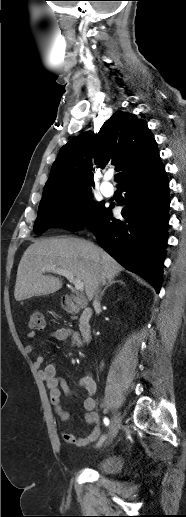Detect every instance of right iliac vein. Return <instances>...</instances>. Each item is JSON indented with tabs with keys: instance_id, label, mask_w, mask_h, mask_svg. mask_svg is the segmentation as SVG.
Here are the masks:
<instances>
[{
	"instance_id": "obj_1",
	"label": "right iliac vein",
	"mask_w": 186,
	"mask_h": 517,
	"mask_svg": "<svg viewBox=\"0 0 186 517\" xmlns=\"http://www.w3.org/2000/svg\"><path fill=\"white\" fill-rule=\"evenodd\" d=\"M121 426V417L118 414H114L111 420L110 433H109V441L117 435Z\"/></svg>"
}]
</instances>
